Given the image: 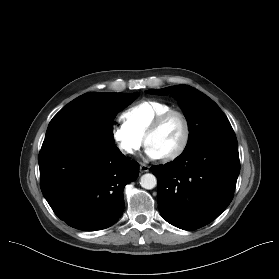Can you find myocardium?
I'll use <instances>...</instances> for the list:
<instances>
[{"label": "myocardium", "instance_id": "obj_1", "mask_svg": "<svg viewBox=\"0 0 279 279\" xmlns=\"http://www.w3.org/2000/svg\"><path fill=\"white\" fill-rule=\"evenodd\" d=\"M171 116H178L181 119L184 127V133H183L182 141L179 144V146L173 152L161 157L164 161H171L178 158L185 152V150L189 145L190 138H191V126L186 114L177 109H170L161 113L150 124V126L148 127V129L146 130L143 136L144 143L145 145H147L148 137L154 132H156L164 124V122Z\"/></svg>", "mask_w": 279, "mask_h": 279}]
</instances>
